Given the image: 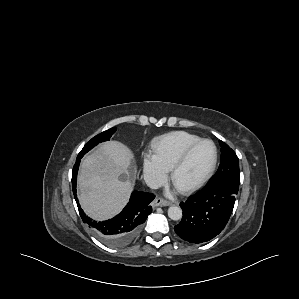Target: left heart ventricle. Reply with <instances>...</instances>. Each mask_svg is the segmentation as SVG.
Returning a JSON list of instances; mask_svg holds the SVG:
<instances>
[{"label":"left heart ventricle","mask_w":299,"mask_h":299,"mask_svg":"<svg viewBox=\"0 0 299 299\" xmlns=\"http://www.w3.org/2000/svg\"><path fill=\"white\" fill-rule=\"evenodd\" d=\"M214 160V148L210 143L200 145L176 176L178 187L189 186L206 175Z\"/></svg>","instance_id":"b2bd125f"}]
</instances>
